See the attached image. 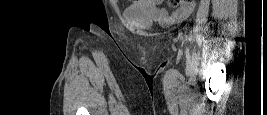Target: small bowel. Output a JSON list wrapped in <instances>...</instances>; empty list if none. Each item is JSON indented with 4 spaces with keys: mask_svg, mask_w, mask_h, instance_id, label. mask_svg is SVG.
Wrapping results in <instances>:
<instances>
[{
    "mask_svg": "<svg viewBox=\"0 0 267 115\" xmlns=\"http://www.w3.org/2000/svg\"><path fill=\"white\" fill-rule=\"evenodd\" d=\"M161 4V0H139L133 3L132 8L144 10L159 19L178 20L186 18L194 6L193 3H189L182 5L177 10L169 11L168 9L161 7Z\"/></svg>",
    "mask_w": 267,
    "mask_h": 115,
    "instance_id": "1",
    "label": "small bowel"
}]
</instances>
